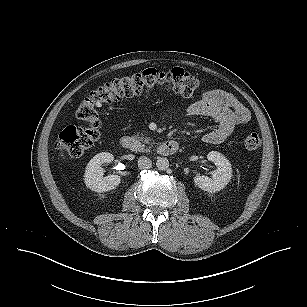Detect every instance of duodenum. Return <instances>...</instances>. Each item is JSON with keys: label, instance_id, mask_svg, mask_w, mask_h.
Segmentation results:
<instances>
[{"label": "duodenum", "instance_id": "1", "mask_svg": "<svg viewBox=\"0 0 307 307\" xmlns=\"http://www.w3.org/2000/svg\"><path fill=\"white\" fill-rule=\"evenodd\" d=\"M121 146L123 149L140 152L141 147L135 139L130 136H123L121 138ZM178 143L175 140H167L160 144L158 148V154L161 156H171L178 150Z\"/></svg>", "mask_w": 307, "mask_h": 307}]
</instances>
